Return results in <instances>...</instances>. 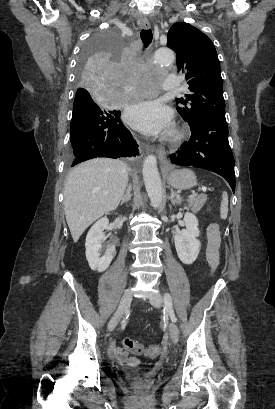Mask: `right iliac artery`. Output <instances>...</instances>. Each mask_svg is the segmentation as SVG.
<instances>
[{
    "mask_svg": "<svg viewBox=\"0 0 275 409\" xmlns=\"http://www.w3.org/2000/svg\"><path fill=\"white\" fill-rule=\"evenodd\" d=\"M125 326H126V321H125V320H123V321H122V327H121V328H122V329H124V328H125Z\"/></svg>",
    "mask_w": 275,
    "mask_h": 409,
    "instance_id": "right-iliac-artery-1",
    "label": "right iliac artery"
}]
</instances>
